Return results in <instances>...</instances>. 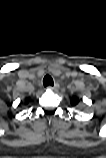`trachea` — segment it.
Returning a JSON list of instances; mask_svg holds the SVG:
<instances>
[{
  "instance_id": "trachea-1",
  "label": "trachea",
  "mask_w": 106,
  "mask_h": 158,
  "mask_svg": "<svg viewBox=\"0 0 106 158\" xmlns=\"http://www.w3.org/2000/svg\"><path fill=\"white\" fill-rule=\"evenodd\" d=\"M43 85L45 87L47 86H53L54 85V82H53V79L50 75H46L43 79Z\"/></svg>"
}]
</instances>
